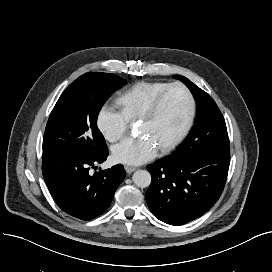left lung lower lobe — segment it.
Wrapping results in <instances>:
<instances>
[{
  "label": "left lung lower lobe",
  "mask_w": 272,
  "mask_h": 272,
  "mask_svg": "<svg viewBox=\"0 0 272 272\" xmlns=\"http://www.w3.org/2000/svg\"><path fill=\"white\" fill-rule=\"evenodd\" d=\"M230 151L179 153L147 166L152 182L146 192L150 211L170 225H183L212 208L227 179Z\"/></svg>",
  "instance_id": "0a47b994"
}]
</instances>
